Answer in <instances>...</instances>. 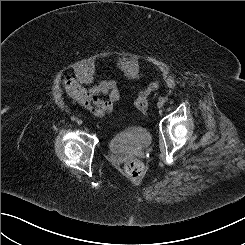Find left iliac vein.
<instances>
[{
    "label": "left iliac vein",
    "instance_id": "left-iliac-vein-1",
    "mask_svg": "<svg viewBox=\"0 0 245 245\" xmlns=\"http://www.w3.org/2000/svg\"><path fill=\"white\" fill-rule=\"evenodd\" d=\"M157 106H158V108H162V107H163L162 101H159V102L157 103Z\"/></svg>",
    "mask_w": 245,
    "mask_h": 245
}]
</instances>
